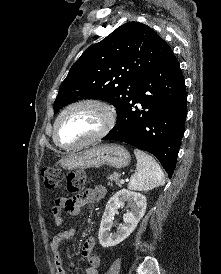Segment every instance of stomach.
<instances>
[{"label":"stomach","instance_id":"stomach-1","mask_svg":"<svg viewBox=\"0 0 221 274\" xmlns=\"http://www.w3.org/2000/svg\"><path fill=\"white\" fill-rule=\"evenodd\" d=\"M130 154L117 144H100L86 148L79 152L69 153L59 160L62 168L72 170L76 168L100 167L109 165L114 168H124L130 163Z\"/></svg>","mask_w":221,"mask_h":274}]
</instances>
